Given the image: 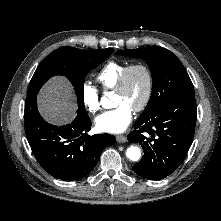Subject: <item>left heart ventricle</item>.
<instances>
[{
	"label": "left heart ventricle",
	"instance_id": "left-heart-ventricle-1",
	"mask_svg": "<svg viewBox=\"0 0 221 221\" xmlns=\"http://www.w3.org/2000/svg\"><path fill=\"white\" fill-rule=\"evenodd\" d=\"M147 87V79L142 70H134L122 92H115L114 104H126L132 110L142 101Z\"/></svg>",
	"mask_w": 221,
	"mask_h": 221
}]
</instances>
